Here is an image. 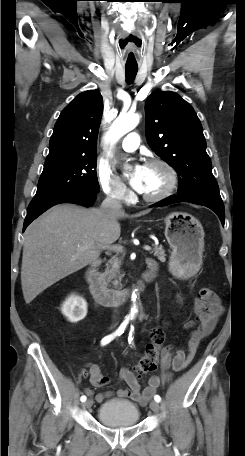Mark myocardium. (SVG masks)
<instances>
[{
  "label": "myocardium",
  "mask_w": 245,
  "mask_h": 456,
  "mask_svg": "<svg viewBox=\"0 0 245 456\" xmlns=\"http://www.w3.org/2000/svg\"><path fill=\"white\" fill-rule=\"evenodd\" d=\"M145 166H159L162 167L168 175V183L165 188L157 194L148 195L140 192V196L147 202H159L169 197L178 185V173L176 169L166 160L160 158H153L146 162Z\"/></svg>",
  "instance_id": "f54148a6"
}]
</instances>
